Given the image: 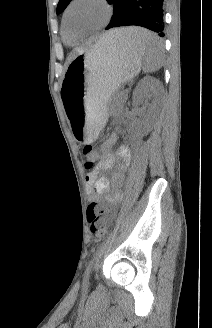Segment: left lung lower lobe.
I'll return each instance as SVG.
<instances>
[{
	"mask_svg": "<svg viewBox=\"0 0 212 328\" xmlns=\"http://www.w3.org/2000/svg\"><path fill=\"white\" fill-rule=\"evenodd\" d=\"M164 0H107L113 7V16L107 29L120 26L137 25L148 28L160 37H164L163 29ZM147 45L152 46V42Z\"/></svg>",
	"mask_w": 212,
	"mask_h": 328,
	"instance_id": "0a47b994",
	"label": "left lung lower lobe"
}]
</instances>
